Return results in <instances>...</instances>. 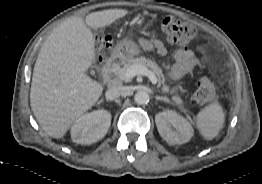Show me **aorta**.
<instances>
[{
	"label": "aorta",
	"mask_w": 262,
	"mask_h": 184,
	"mask_svg": "<svg viewBox=\"0 0 262 184\" xmlns=\"http://www.w3.org/2000/svg\"><path fill=\"white\" fill-rule=\"evenodd\" d=\"M134 101L138 105L147 104L149 102V94L146 91H138L134 95Z\"/></svg>",
	"instance_id": "762f6f07"
}]
</instances>
